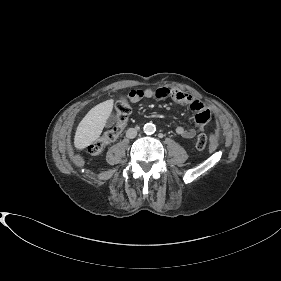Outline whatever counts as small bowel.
Listing matches in <instances>:
<instances>
[{"label":"small bowel","mask_w":281,"mask_h":281,"mask_svg":"<svg viewBox=\"0 0 281 281\" xmlns=\"http://www.w3.org/2000/svg\"><path fill=\"white\" fill-rule=\"evenodd\" d=\"M127 98L132 103H136L142 99H171L178 105L188 106L194 113L195 128H185L182 126L176 128V133L186 139L194 138L201 132L212 115L210 108L199 99L177 89L161 87L156 89L132 90L128 93Z\"/></svg>","instance_id":"obj_1"}]
</instances>
